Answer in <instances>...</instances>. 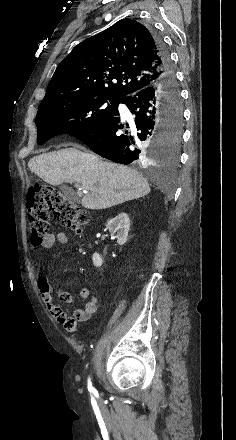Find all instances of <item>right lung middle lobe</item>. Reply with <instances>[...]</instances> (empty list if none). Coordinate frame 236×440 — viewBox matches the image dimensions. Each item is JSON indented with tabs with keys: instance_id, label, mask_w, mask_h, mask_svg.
Here are the masks:
<instances>
[{
	"instance_id": "1",
	"label": "right lung middle lobe",
	"mask_w": 236,
	"mask_h": 440,
	"mask_svg": "<svg viewBox=\"0 0 236 440\" xmlns=\"http://www.w3.org/2000/svg\"><path fill=\"white\" fill-rule=\"evenodd\" d=\"M179 96L177 93L174 95ZM91 95L70 96L41 102L37 114L38 144L57 134L75 135L110 118L118 109V101ZM181 125L164 130L160 146L162 155L174 162L178 156Z\"/></svg>"
}]
</instances>
